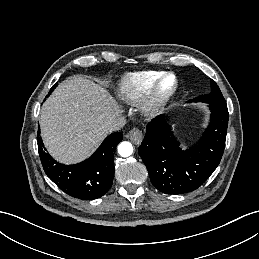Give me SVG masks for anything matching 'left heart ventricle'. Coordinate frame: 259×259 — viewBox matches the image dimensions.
Returning a JSON list of instances; mask_svg holds the SVG:
<instances>
[{
    "label": "left heart ventricle",
    "instance_id": "b2bd125f",
    "mask_svg": "<svg viewBox=\"0 0 259 259\" xmlns=\"http://www.w3.org/2000/svg\"><path fill=\"white\" fill-rule=\"evenodd\" d=\"M172 83H173V79H172V78H168V79L164 82V84H163V86H162V90L168 89V88L172 85Z\"/></svg>",
    "mask_w": 259,
    "mask_h": 259
}]
</instances>
